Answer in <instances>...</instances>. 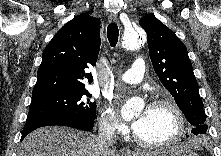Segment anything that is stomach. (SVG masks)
<instances>
[{"label":"stomach","mask_w":221,"mask_h":156,"mask_svg":"<svg viewBox=\"0 0 221 156\" xmlns=\"http://www.w3.org/2000/svg\"><path fill=\"white\" fill-rule=\"evenodd\" d=\"M147 156H198L187 146L173 145L166 146L156 151L153 155L147 154Z\"/></svg>","instance_id":"1"}]
</instances>
